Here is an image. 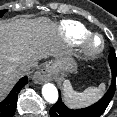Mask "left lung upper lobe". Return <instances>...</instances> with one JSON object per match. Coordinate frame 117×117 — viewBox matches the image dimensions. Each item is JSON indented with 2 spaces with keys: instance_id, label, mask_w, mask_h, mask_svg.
I'll return each instance as SVG.
<instances>
[{
  "instance_id": "1",
  "label": "left lung upper lobe",
  "mask_w": 117,
  "mask_h": 117,
  "mask_svg": "<svg viewBox=\"0 0 117 117\" xmlns=\"http://www.w3.org/2000/svg\"><path fill=\"white\" fill-rule=\"evenodd\" d=\"M109 64L113 65V64H117V58H116V54L114 49H111V52L109 54Z\"/></svg>"
}]
</instances>
